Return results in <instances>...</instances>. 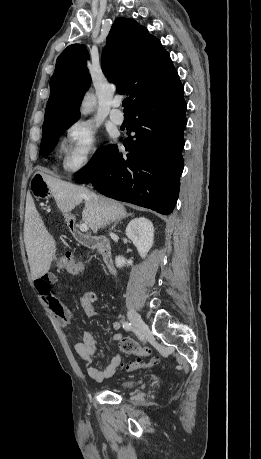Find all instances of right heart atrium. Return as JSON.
<instances>
[{"mask_svg":"<svg viewBox=\"0 0 261 459\" xmlns=\"http://www.w3.org/2000/svg\"><path fill=\"white\" fill-rule=\"evenodd\" d=\"M68 149L63 160L67 172L76 173L87 168L98 153L97 131L86 121H75L67 129Z\"/></svg>","mask_w":261,"mask_h":459,"instance_id":"d8ad5b80","label":"right heart atrium"}]
</instances>
